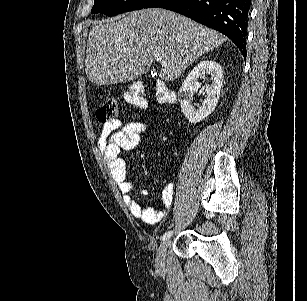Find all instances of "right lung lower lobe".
I'll use <instances>...</instances> for the list:
<instances>
[{"mask_svg": "<svg viewBox=\"0 0 307 301\" xmlns=\"http://www.w3.org/2000/svg\"><path fill=\"white\" fill-rule=\"evenodd\" d=\"M251 0H152L144 8L161 7L187 16L228 36L246 57Z\"/></svg>", "mask_w": 307, "mask_h": 301, "instance_id": "98d812e1", "label": "right lung lower lobe"}]
</instances>
